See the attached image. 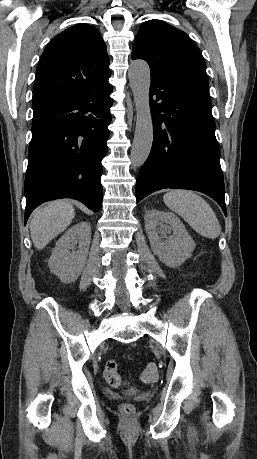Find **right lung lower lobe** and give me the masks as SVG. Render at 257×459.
<instances>
[{
    "label": "right lung lower lobe",
    "instance_id": "1",
    "mask_svg": "<svg viewBox=\"0 0 257 459\" xmlns=\"http://www.w3.org/2000/svg\"><path fill=\"white\" fill-rule=\"evenodd\" d=\"M112 86L33 107L25 178L24 224L41 203L72 198L98 212L103 190L101 160L108 151Z\"/></svg>",
    "mask_w": 257,
    "mask_h": 459
}]
</instances>
